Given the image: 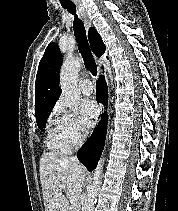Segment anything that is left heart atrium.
<instances>
[{
    "mask_svg": "<svg viewBox=\"0 0 178 211\" xmlns=\"http://www.w3.org/2000/svg\"><path fill=\"white\" fill-rule=\"evenodd\" d=\"M80 122L86 128H92L97 120L99 109L96 102L92 99H84L79 104Z\"/></svg>",
    "mask_w": 178,
    "mask_h": 211,
    "instance_id": "39dd6f15",
    "label": "left heart atrium"
}]
</instances>
